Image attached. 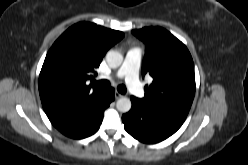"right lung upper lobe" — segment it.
<instances>
[{
  "label": "right lung upper lobe",
  "mask_w": 248,
  "mask_h": 165,
  "mask_svg": "<svg viewBox=\"0 0 248 165\" xmlns=\"http://www.w3.org/2000/svg\"><path fill=\"white\" fill-rule=\"evenodd\" d=\"M123 32L80 22L67 29L46 55L39 76L43 109L58 128L83 117L105 97L107 90L88 85L107 50Z\"/></svg>",
  "instance_id": "right-lung-upper-lobe-1"
}]
</instances>
